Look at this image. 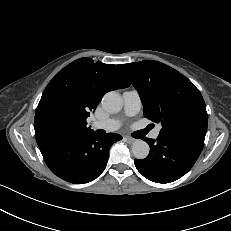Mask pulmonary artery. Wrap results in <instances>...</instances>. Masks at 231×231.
I'll use <instances>...</instances> for the list:
<instances>
[{"label": "pulmonary artery", "instance_id": "e3ab8cb5", "mask_svg": "<svg viewBox=\"0 0 231 231\" xmlns=\"http://www.w3.org/2000/svg\"><path fill=\"white\" fill-rule=\"evenodd\" d=\"M123 110L125 115L134 116L142 107L141 97L136 90H127L123 93ZM93 128H100L106 131H114L121 126V121L115 118H109L105 120H95L91 123ZM160 133V127H156L151 136L157 138Z\"/></svg>", "mask_w": 231, "mask_h": 231}]
</instances>
